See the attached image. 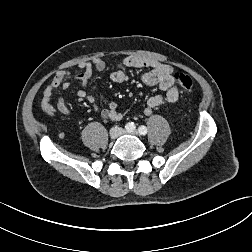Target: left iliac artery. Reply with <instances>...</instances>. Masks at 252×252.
I'll use <instances>...</instances> for the list:
<instances>
[{
    "label": "left iliac artery",
    "mask_w": 252,
    "mask_h": 252,
    "mask_svg": "<svg viewBox=\"0 0 252 252\" xmlns=\"http://www.w3.org/2000/svg\"><path fill=\"white\" fill-rule=\"evenodd\" d=\"M138 131H139V133H140L141 135H146L147 132H148V130H147V128H146L145 126H140V127L138 128Z\"/></svg>",
    "instance_id": "left-iliac-artery-1"
}]
</instances>
